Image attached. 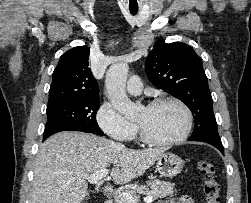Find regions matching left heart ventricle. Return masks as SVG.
Returning a JSON list of instances; mask_svg holds the SVG:
<instances>
[{"label": "left heart ventricle", "mask_w": 251, "mask_h": 203, "mask_svg": "<svg viewBox=\"0 0 251 203\" xmlns=\"http://www.w3.org/2000/svg\"><path fill=\"white\" fill-rule=\"evenodd\" d=\"M137 123L141 124L152 138L168 140L181 134L185 127L186 118L178 105L164 103L142 109Z\"/></svg>", "instance_id": "1"}]
</instances>
